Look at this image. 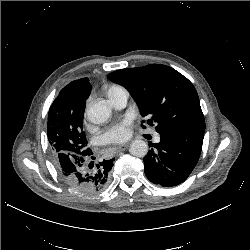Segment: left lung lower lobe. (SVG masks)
Returning a JSON list of instances; mask_svg holds the SVG:
<instances>
[{"label":"left lung lower lobe","mask_w":250,"mask_h":250,"mask_svg":"<svg viewBox=\"0 0 250 250\" xmlns=\"http://www.w3.org/2000/svg\"><path fill=\"white\" fill-rule=\"evenodd\" d=\"M160 142L144 158V171L149 181L163 187L183 183L196 166L204 132H164Z\"/></svg>","instance_id":"left-lung-lower-lobe-1"}]
</instances>
